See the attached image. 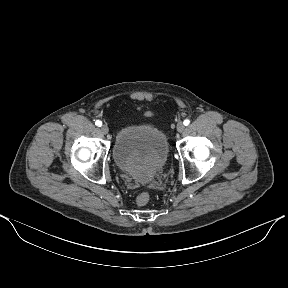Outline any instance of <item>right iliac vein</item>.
<instances>
[{
  "mask_svg": "<svg viewBox=\"0 0 288 288\" xmlns=\"http://www.w3.org/2000/svg\"><path fill=\"white\" fill-rule=\"evenodd\" d=\"M101 132L103 133V134H107L108 132H109V128H108V126L107 125H102L101 126Z\"/></svg>",
  "mask_w": 288,
  "mask_h": 288,
  "instance_id": "obj_1",
  "label": "right iliac vein"
}]
</instances>
